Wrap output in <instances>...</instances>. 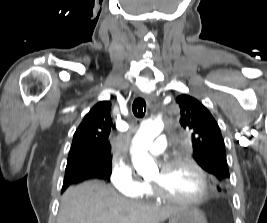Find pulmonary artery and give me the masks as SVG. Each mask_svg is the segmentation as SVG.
<instances>
[{"mask_svg":"<svg viewBox=\"0 0 267 223\" xmlns=\"http://www.w3.org/2000/svg\"><path fill=\"white\" fill-rule=\"evenodd\" d=\"M168 137L165 135H159L154 144L148 148V152L153 155H159L165 151Z\"/></svg>","mask_w":267,"mask_h":223,"instance_id":"obj_1","label":"pulmonary artery"}]
</instances>
